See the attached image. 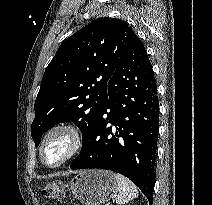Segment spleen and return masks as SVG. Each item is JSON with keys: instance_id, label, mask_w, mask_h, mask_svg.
Segmentation results:
<instances>
[{"instance_id": "3e777b00", "label": "spleen", "mask_w": 212, "mask_h": 205, "mask_svg": "<svg viewBox=\"0 0 212 205\" xmlns=\"http://www.w3.org/2000/svg\"><path fill=\"white\" fill-rule=\"evenodd\" d=\"M117 182V190L119 192L116 202L124 205L129 201L138 197V190L136 186L126 177L121 174H114Z\"/></svg>"}]
</instances>
